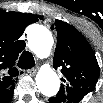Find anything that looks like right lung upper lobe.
I'll use <instances>...</instances> for the list:
<instances>
[{
  "label": "right lung upper lobe",
  "instance_id": "cb5924a9",
  "mask_svg": "<svg viewBox=\"0 0 103 103\" xmlns=\"http://www.w3.org/2000/svg\"><path fill=\"white\" fill-rule=\"evenodd\" d=\"M42 16L0 10V101L13 92L16 76L15 61L24 49L25 42L18 40L27 25L35 23Z\"/></svg>",
  "mask_w": 103,
  "mask_h": 103
}]
</instances>
